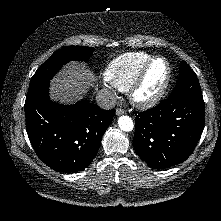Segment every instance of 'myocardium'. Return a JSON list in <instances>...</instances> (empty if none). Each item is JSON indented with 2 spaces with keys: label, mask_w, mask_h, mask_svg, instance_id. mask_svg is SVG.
I'll return each mask as SVG.
<instances>
[{
  "label": "myocardium",
  "mask_w": 221,
  "mask_h": 221,
  "mask_svg": "<svg viewBox=\"0 0 221 221\" xmlns=\"http://www.w3.org/2000/svg\"><path fill=\"white\" fill-rule=\"evenodd\" d=\"M159 59L163 60L167 66V74H166L165 80H164L162 86L160 87V89L155 94H153L152 96H149V97H140L139 91L145 81L147 73H148L150 67L152 66V64L156 60H159ZM171 78H172V67H171V64L168 61V59L164 56H161V55L153 56L151 59H149L143 65V67L141 68V70L137 74L136 78L134 79V81L130 85V87L128 89V96H129L130 101L136 107L141 108V109H148V108H151V107L157 105L162 100V98L165 96V94L169 88Z\"/></svg>",
  "instance_id": "1"
}]
</instances>
